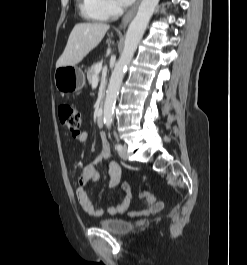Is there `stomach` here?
Segmentation results:
<instances>
[{"mask_svg":"<svg viewBox=\"0 0 247 265\" xmlns=\"http://www.w3.org/2000/svg\"><path fill=\"white\" fill-rule=\"evenodd\" d=\"M54 82L56 89L62 94L76 92L83 88L85 75L78 66H61L55 70Z\"/></svg>","mask_w":247,"mask_h":265,"instance_id":"obj_1","label":"stomach"}]
</instances>
